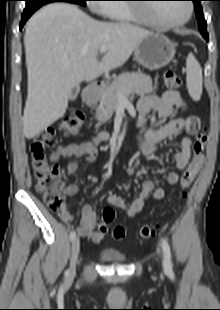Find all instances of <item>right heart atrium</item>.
<instances>
[{
    "mask_svg": "<svg viewBox=\"0 0 220 310\" xmlns=\"http://www.w3.org/2000/svg\"><path fill=\"white\" fill-rule=\"evenodd\" d=\"M92 1H102V0H92ZM105 6L104 5H101V4H96L93 6V8L99 12L102 13V9L104 8Z\"/></svg>",
    "mask_w": 220,
    "mask_h": 310,
    "instance_id": "d8ad5b80",
    "label": "right heart atrium"
}]
</instances>
